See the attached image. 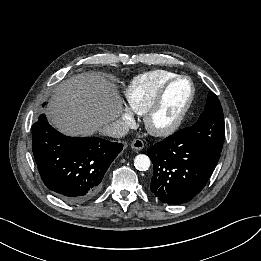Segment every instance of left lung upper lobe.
<instances>
[{
  "label": "left lung upper lobe",
  "mask_w": 261,
  "mask_h": 261,
  "mask_svg": "<svg viewBox=\"0 0 261 261\" xmlns=\"http://www.w3.org/2000/svg\"><path fill=\"white\" fill-rule=\"evenodd\" d=\"M192 129L194 140L198 145L221 152L225 138L224 115L220 102L213 92L208 94L205 110Z\"/></svg>",
  "instance_id": "obj_1"
}]
</instances>
